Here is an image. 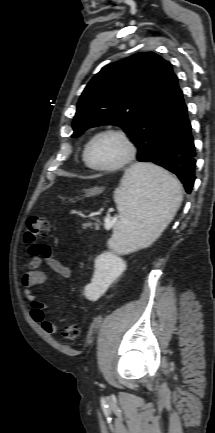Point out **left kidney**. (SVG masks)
Masks as SVG:
<instances>
[{
  "instance_id": "5707ae66",
  "label": "left kidney",
  "mask_w": 215,
  "mask_h": 433,
  "mask_svg": "<svg viewBox=\"0 0 215 433\" xmlns=\"http://www.w3.org/2000/svg\"><path fill=\"white\" fill-rule=\"evenodd\" d=\"M125 270V261L112 252L97 256L91 283L84 288L85 297L90 301H97Z\"/></svg>"
}]
</instances>
